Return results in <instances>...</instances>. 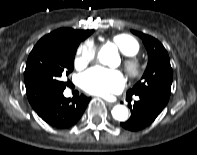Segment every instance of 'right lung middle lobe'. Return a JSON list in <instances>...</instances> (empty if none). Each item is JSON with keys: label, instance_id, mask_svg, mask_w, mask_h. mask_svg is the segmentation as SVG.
<instances>
[{"label": "right lung middle lobe", "instance_id": "obj_1", "mask_svg": "<svg viewBox=\"0 0 197 155\" xmlns=\"http://www.w3.org/2000/svg\"><path fill=\"white\" fill-rule=\"evenodd\" d=\"M83 40L48 34L38 41L29 54L24 73L31 105H42L64 91L67 84L61 76L72 72L76 49Z\"/></svg>", "mask_w": 197, "mask_h": 155}]
</instances>
